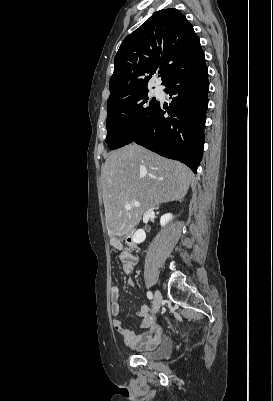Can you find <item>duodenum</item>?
Returning <instances> with one entry per match:
<instances>
[{
	"instance_id": "410a0bca",
	"label": "duodenum",
	"mask_w": 273,
	"mask_h": 401,
	"mask_svg": "<svg viewBox=\"0 0 273 401\" xmlns=\"http://www.w3.org/2000/svg\"><path fill=\"white\" fill-rule=\"evenodd\" d=\"M128 241L130 242V241H131V239L129 238V239H128Z\"/></svg>"
}]
</instances>
